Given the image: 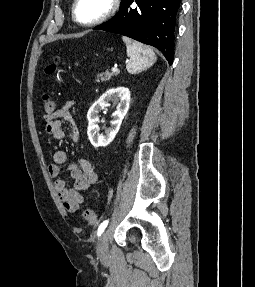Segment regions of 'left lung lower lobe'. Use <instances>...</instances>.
Here are the masks:
<instances>
[{
	"instance_id": "0a47b994",
	"label": "left lung lower lobe",
	"mask_w": 255,
	"mask_h": 287,
	"mask_svg": "<svg viewBox=\"0 0 255 287\" xmlns=\"http://www.w3.org/2000/svg\"><path fill=\"white\" fill-rule=\"evenodd\" d=\"M181 0H121L118 14L94 28L158 48L171 65Z\"/></svg>"
}]
</instances>
